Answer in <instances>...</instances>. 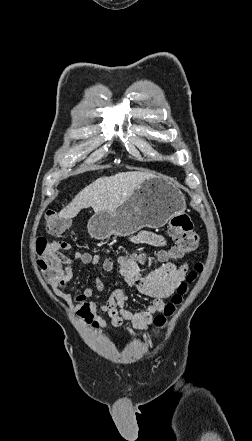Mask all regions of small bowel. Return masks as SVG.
Returning a JSON list of instances; mask_svg holds the SVG:
<instances>
[{
  "mask_svg": "<svg viewBox=\"0 0 252 441\" xmlns=\"http://www.w3.org/2000/svg\"><path fill=\"white\" fill-rule=\"evenodd\" d=\"M132 241L154 247L166 245V240L162 235L151 231H140L132 237ZM72 248L70 243L61 242V249L71 250ZM162 255V259H168V261L148 273H143L138 263L132 259H126L122 256L117 259L119 274L128 287L135 288L141 294L151 298V302L143 310L139 311H131L126 308L128 296L120 288L114 289L103 304L88 300L94 294V290L91 287L84 288L80 294L75 296L64 293L63 288L72 277V261L78 260L82 264L96 265L100 261V254L76 252L72 258L63 256V262L68 265L66 273L59 282L49 281V283L53 286L57 295L70 306L71 310L82 322H91L97 317L98 311L101 310L108 314L112 326L133 334V329L124 327V322H130L134 329L148 328L152 324L155 314L163 313L165 299L173 295L189 269L188 261L177 265L167 253H162ZM102 268L106 272H111L114 268V259L112 257L105 258ZM95 287L98 292H102L104 289V284L99 277L95 279Z\"/></svg>",
  "mask_w": 252,
  "mask_h": 441,
  "instance_id": "small-bowel-1",
  "label": "small bowel"
}]
</instances>
